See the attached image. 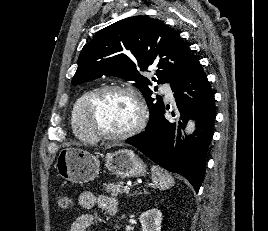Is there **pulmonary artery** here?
<instances>
[{
    "label": "pulmonary artery",
    "instance_id": "obj_1",
    "mask_svg": "<svg viewBox=\"0 0 268 231\" xmlns=\"http://www.w3.org/2000/svg\"><path fill=\"white\" fill-rule=\"evenodd\" d=\"M161 91L165 94L166 99L173 101L174 93L168 84H163L161 86Z\"/></svg>",
    "mask_w": 268,
    "mask_h": 231
}]
</instances>
